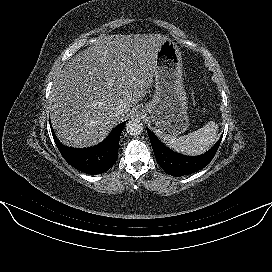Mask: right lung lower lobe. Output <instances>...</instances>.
Returning <instances> with one entry per match:
<instances>
[{"label": "right lung lower lobe", "instance_id": "1", "mask_svg": "<svg viewBox=\"0 0 272 272\" xmlns=\"http://www.w3.org/2000/svg\"><path fill=\"white\" fill-rule=\"evenodd\" d=\"M126 122L120 123L99 145L91 148L76 149L64 146L54 134V141L63 158L74 168L87 174L96 175L106 172L116 162L121 132Z\"/></svg>", "mask_w": 272, "mask_h": 272}]
</instances>
